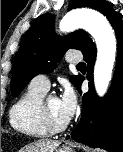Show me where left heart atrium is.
Wrapping results in <instances>:
<instances>
[{"mask_svg": "<svg viewBox=\"0 0 123 152\" xmlns=\"http://www.w3.org/2000/svg\"><path fill=\"white\" fill-rule=\"evenodd\" d=\"M61 111L66 121H69L77 108V96L70 85H66L59 99Z\"/></svg>", "mask_w": 123, "mask_h": 152, "instance_id": "left-heart-atrium-1", "label": "left heart atrium"}]
</instances>
